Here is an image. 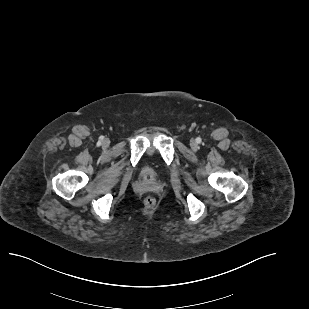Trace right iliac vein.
Masks as SVG:
<instances>
[{
	"label": "right iliac vein",
	"mask_w": 309,
	"mask_h": 309,
	"mask_svg": "<svg viewBox=\"0 0 309 309\" xmlns=\"http://www.w3.org/2000/svg\"><path fill=\"white\" fill-rule=\"evenodd\" d=\"M108 145H109L108 140H104V141H103V146H105V147H106V146H108Z\"/></svg>",
	"instance_id": "63e3f726"
}]
</instances>
